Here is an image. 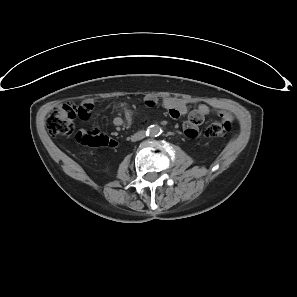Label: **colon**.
I'll return each instance as SVG.
<instances>
[{
  "instance_id": "1",
  "label": "colon",
  "mask_w": 297,
  "mask_h": 297,
  "mask_svg": "<svg viewBox=\"0 0 297 297\" xmlns=\"http://www.w3.org/2000/svg\"><path fill=\"white\" fill-rule=\"evenodd\" d=\"M92 106L90 104L76 105L65 103L57 106L48 116L47 130L52 135H70L73 132V122L78 117L88 119ZM199 120L198 123H201ZM232 130V123L223 116L220 120L212 123L206 130L208 137H225ZM77 140L87 146L92 147H114L116 142L98 130L93 132H80Z\"/></svg>"
}]
</instances>
